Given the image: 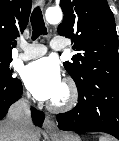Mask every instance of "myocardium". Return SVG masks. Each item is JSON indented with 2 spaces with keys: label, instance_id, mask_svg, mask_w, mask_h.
<instances>
[{
  "label": "myocardium",
  "instance_id": "1",
  "mask_svg": "<svg viewBox=\"0 0 119 141\" xmlns=\"http://www.w3.org/2000/svg\"><path fill=\"white\" fill-rule=\"evenodd\" d=\"M63 88L65 91V95L62 100L59 101H51L49 103V109L54 112H65L69 111L75 107L78 102V89L75 82L67 78L63 82Z\"/></svg>",
  "mask_w": 119,
  "mask_h": 141
}]
</instances>
